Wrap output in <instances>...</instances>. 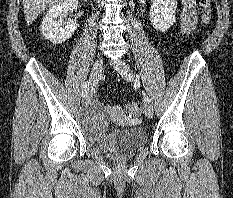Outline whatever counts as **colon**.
Masks as SVG:
<instances>
[{
	"label": "colon",
	"mask_w": 233,
	"mask_h": 198,
	"mask_svg": "<svg viewBox=\"0 0 233 198\" xmlns=\"http://www.w3.org/2000/svg\"><path fill=\"white\" fill-rule=\"evenodd\" d=\"M199 5L201 8V19L204 24H209L211 22V0H199ZM127 113L133 117L137 118L141 112V106L139 102H129L126 104Z\"/></svg>",
	"instance_id": "5ec220e1"
}]
</instances>
